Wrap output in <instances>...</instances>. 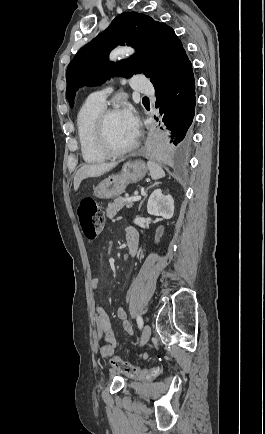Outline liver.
I'll use <instances>...</instances> for the list:
<instances>
[{"label":"liver","instance_id":"liver-1","mask_svg":"<svg viewBox=\"0 0 265 434\" xmlns=\"http://www.w3.org/2000/svg\"><path fill=\"white\" fill-rule=\"evenodd\" d=\"M118 162H110V164H103V162H99V164H91V166H82L77 170L74 176V190H78L82 180H86V178H98V176H103L112 168L117 166Z\"/></svg>","mask_w":265,"mask_h":434}]
</instances>
